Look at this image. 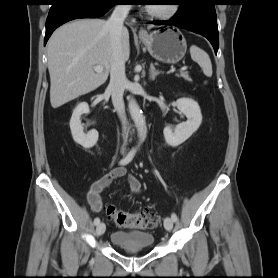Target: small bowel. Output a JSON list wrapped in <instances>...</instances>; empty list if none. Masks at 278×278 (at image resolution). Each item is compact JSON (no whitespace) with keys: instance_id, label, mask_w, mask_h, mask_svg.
<instances>
[{"instance_id":"small-bowel-1","label":"small bowel","mask_w":278,"mask_h":278,"mask_svg":"<svg viewBox=\"0 0 278 278\" xmlns=\"http://www.w3.org/2000/svg\"><path fill=\"white\" fill-rule=\"evenodd\" d=\"M124 176L127 177V183L133 194H139L141 192L140 181L132 175H127V171L124 167H116L108 174L95 181L87 193V202L94 212H100L103 208L101 199L102 191L109 187L114 180Z\"/></svg>"}]
</instances>
